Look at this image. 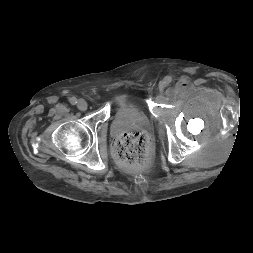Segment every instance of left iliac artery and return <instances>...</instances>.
I'll return each mask as SVG.
<instances>
[{"label":"left iliac artery","instance_id":"obj_1","mask_svg":"<svg viewBox=\"0 0 253 253\" xmlns=\"http://www.w3.org/2000/svg\"><path fill=\"white\" fill-rule=\"evenodd\" d=\"M171 81H172V78H171L170 76H166V77L164 78L165 84H170Z\"/></svg>","mask_w":253,"mask_h":253}]
</instances>
